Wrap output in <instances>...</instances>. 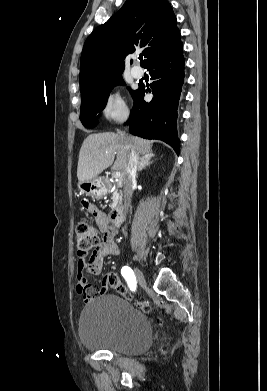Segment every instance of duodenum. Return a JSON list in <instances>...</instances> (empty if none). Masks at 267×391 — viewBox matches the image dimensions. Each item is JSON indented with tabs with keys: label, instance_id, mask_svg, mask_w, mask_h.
Here are the masks:
<instances>
[{
	"label": "duodenum",
	"instance_id": "obj_1",
	"mask_svg": "<svg viewBox=\"0 0 267 391\" xmlns=\"http://www.w3.org/2000/svg\"><path fill=\"white\" fill-rule=\"evenodd\" d=\"M125 218V212L121 208L114 209L109 215L108 224L112 231H117Z\"/></svg>",
	"mask_w": 267,
	"mask_h": 391
}]
</instances>
